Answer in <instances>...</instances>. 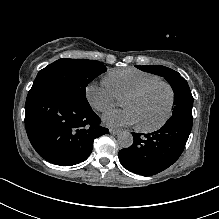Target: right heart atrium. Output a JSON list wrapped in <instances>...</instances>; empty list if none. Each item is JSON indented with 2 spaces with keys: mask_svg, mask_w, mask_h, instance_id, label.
Returning <instances> with one entry per match:
<instances>
[{
  "mask_svg": "<svg viewBox=\"0 0 219 219\" xmlns=\"http://www.w3.org/2000/svg\"><path fill=\"white\" fill-rule=\"evenodd\" d=\"M85 98L90 106L99 112H107L116 105V97L105 80L99 84L91 82L86 85Z\"/></svg>",
  "mask_w": 219,
  "mask_h": 219,
  "instance_id": "right-heart-atrium-1",
  "label": "right heart atrium"
}]
</instances>
